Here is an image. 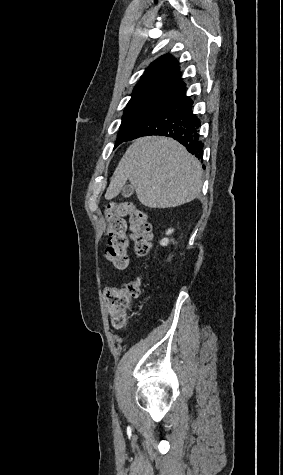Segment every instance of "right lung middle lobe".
<instances>
[{
  "label": "right lung middle lobe",
  "instance_id": "obj_1",
  "mask_svg": "<svg viewBox=\"0 0 283 475\" xmlns=\"http://www.w3.org/2000/svg\"><path fill=\"white\" fill-rule=\"evenodd\" d=\"M175 92V89H161L137 97H132L124 111L120 131L114 148L121 144L143 119L154 112Z\"/></svg>",
  "mask_w": 283,
  "mask_h": 475
}]
</instances>
